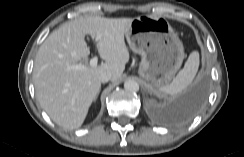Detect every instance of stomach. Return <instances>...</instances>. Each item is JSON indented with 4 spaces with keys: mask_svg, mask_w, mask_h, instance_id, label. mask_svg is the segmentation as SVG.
<instances>
[{
    "mask_svg": "<svg viewBox=\"0 0 244 157\" xmlns=\"http://www.w3.org/2000/svg\"><path fill=\"white\" fill-rule=\"evenodd\" d=\"M125 36L131 50L141 55L139 75L154 88L169 84L185 57L169 22L155 15L139 16L132 19Z\"/></svg>",
    "mask_w": 244,
    "mask_h": 157,
    "instance_id": "0dacf381",
    "label": "stomach"
}]
</instances>
